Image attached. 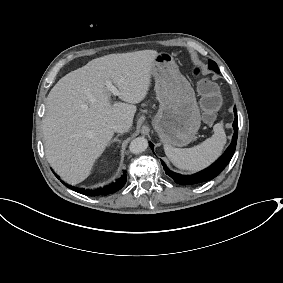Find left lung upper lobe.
Wrapping results in <instances>:
<instances>
[{
	"label": "left lung upper lobe",
	"instance_id": "5c2ea615",
	"mask_svg": "<svg viewBox=\"0 0 283 283\" xmlns=\"http://www.w3.org/2000/svg\"><path fill=\"white\" fill-rule=\"evenodd\" d=\"M209 68L213 69V70H215L217 72L219 71L217 64L214 61H212V60L209 61Z\"/></svg>",
	"mask_w": 283,
	"mask_h": 283
}]
</instances>
